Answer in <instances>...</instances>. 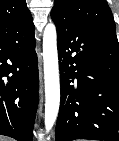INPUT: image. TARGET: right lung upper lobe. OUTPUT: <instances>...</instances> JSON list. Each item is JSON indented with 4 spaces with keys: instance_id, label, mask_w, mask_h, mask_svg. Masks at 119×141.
<instances>
[{
    "instance_id": "right-lung-upper-lobe-1",
    "label": "right lung upper lobe",
    "mask_w": 119,
    "mask_h": 141,
    "mask_svg": "<svg viewBox=\"0 0 119 141\" xmlns=\"http://www.w3.org/2000/svg\"><path fill=\"white\" fill-rule=\"evenodd\" d=\"M31 18L26 0H0V29Z\"/></svg>"
}]
</instances>
